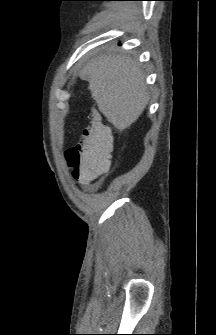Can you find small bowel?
<instances>
[{
  "instance_id": "obj_1",
  "label": "small bowel",
  "mask_w": 216,
  "mask_h": 335,
  "mask_svg": "<svg viewBox=\"0 0 216 335\" xmlns=\"http://www.w3.org/2000/svg\"><path fill=\"white\" fill-rule=\"evenodd\" d=\"M104 173V172H101V174ZM73 176L75 177V174H73ZM78 181L81 183V184H88L90 183L94 178H77Z\"/></svg>"
}]
</instances>
